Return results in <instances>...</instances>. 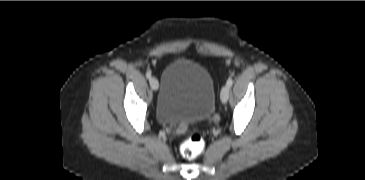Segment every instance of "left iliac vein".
Listing matches in <instances>:
<instances>
[{
    "instance_id": "4c4485c4",
    "label": "left iliac vein",
    "mask_w": 365,
    "mask_h": 180,
    "mask_svg": "<svg viewBox=\"0 0 365 180\" xmlns=\"http://www.w3.org/2000/svg\"><path fill=\"white\" fill-rule=\"evenodd\" d=\"M229 93H230V87L225 85L222 90H221V94H220V99L222 103H226L228 101L229 98Z\"/></svg>"
}]
</instances>
